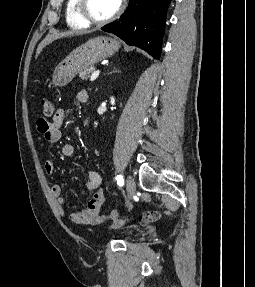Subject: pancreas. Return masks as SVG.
Wrapping results in <instances>:
<instances>
[{
    "label": "pancreas",
    "mask_w": 255,
    "mask_h": 287,
    "mask_svg": "<svg viewBox=\"0 0 255 287\" xmlns=\"http://www.w3.org/2000/svg\"><path fill=\"white\" fill-rule=\"evenodd\" d=\"M95 70L96 68H94V66H91V68H85L83 72H80L79 78H81V80H88V78H90V74H92V72H95Z\"/></svg>",
    "instance_id": "cf45deb5"
}]
</instances>
